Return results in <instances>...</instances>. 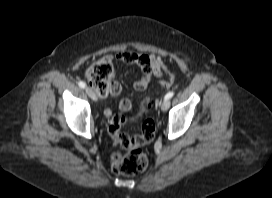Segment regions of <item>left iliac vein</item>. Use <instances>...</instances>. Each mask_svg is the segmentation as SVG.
I'll use <instances>...</instances> for the list:
<instances>
[{"label": "left iliac vein", "mask_w": 272, "mask_h": 198, "mask_svg": "<svg viewBox=\"0 0 272 198\" xmlns=\"http://www.w3.org/2000/svg\"><path fill=\"white\" fill-rule=\"evenodd\" d=\"M169 106H170V100L169 99H164L160 104V107H161L162 111H167Z\"/></svg>", "instance_id": "left-iliac-vein-1"}]
</instances>
